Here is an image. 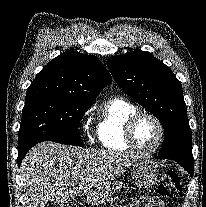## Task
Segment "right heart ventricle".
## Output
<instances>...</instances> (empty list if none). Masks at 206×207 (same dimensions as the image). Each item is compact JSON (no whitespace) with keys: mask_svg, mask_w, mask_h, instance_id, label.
<instances>
[{"mask_svg":"<svg viewBox=\"0 0 206 207\" xmlns=\"http://www.w3.org/2000/svg\"><path fill=\"white\" fill-rule=\"evenodd\" d=\"M136 111L135 105L119 97L104 104L96 125L97 139L104 149L117 153L130 151L124 140V125Z\"/></svg>","mask_w":206,"mask_h":207,"instance_id":"obj_1","label":"right heart ventricle"}]
</instances>
